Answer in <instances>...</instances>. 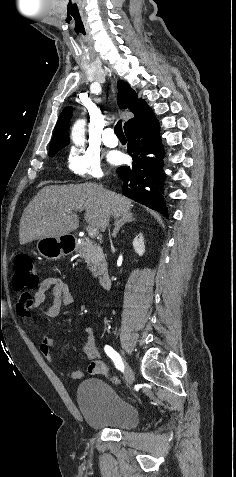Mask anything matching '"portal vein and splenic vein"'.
<instances>
[{
	"label": "portal vein and splenic vein",
	"mask_w": 236,
	"mask_h": 477,
	"mask_svg": "<svg viewBox=\"0 0 236 477\" xmlns=\"http://www.w3.org/2000/svg\"><path fill=\"white\" fill-rule=\"evenodd\" d=\"M98 234V229L94 226H89L88 227V235L91 237V238H94L96 237Z\"/></svg>",
	"instance_id": "1"
}]
</instances>
